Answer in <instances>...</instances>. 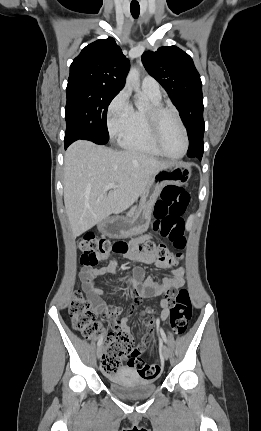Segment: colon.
Segmentation results:
<instances>
[{"instance_id": "obj_1", "label": "colon", "mask_w": 261, "mask_h": 431, "mask_svg": "<svg viewBox=\"0 0 261 431\" xmlns=\"http://www.w3.org/2000/svg\"><path fill=\"white\" fill-rule=\"evenodd\" d=\"M190 201L189 193L182 187L167 185L163 188L160 200L154 208L153 229L160 236L167 238L177 250L172 254L164 243L149 240L144 243L129 245L124 241L111 243L109 240L93 234L82 237L78 242L81 252L80 261L85 267L92 268L99 259L111 252L122 256L151 254L159 261L176 263L183 259V250L186 247L184 235L185 213ZM164 300L169 307L170 327L175 335H182L192 316V303L189 291L181 289L177 292L169 291ZM72 325L76 331L85 338H92L100 330V321L91 303L77 290L69 306ZM122 360L138 373L139 379L144 383L158 381L163 367L156 363L146 364L135 350L130 335L123 332H111L107 335L102 355V369L106 373H114L121 366Z\"/></svg>"}]
</instances>
